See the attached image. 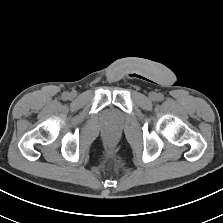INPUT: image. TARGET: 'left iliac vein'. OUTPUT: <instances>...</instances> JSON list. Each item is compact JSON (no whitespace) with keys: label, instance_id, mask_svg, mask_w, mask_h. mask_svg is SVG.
Instances as JSON below:
<instances>
[{"label":"left iliac vein","instance_id":"left-iliac-vein-1","mask_svg":"<svg viewBox=\"0 0 223 223\" xmlns=\"http://www.w3.org/2000/svg\"><path fill=\"white\" fill-rule=\"evenodd\" d=\"M156 97H157V94L155 92L149 93L150 100L154 101L156 99Z\"/></svg>","mask_w":223,"mask_h":223}]
</instances>
